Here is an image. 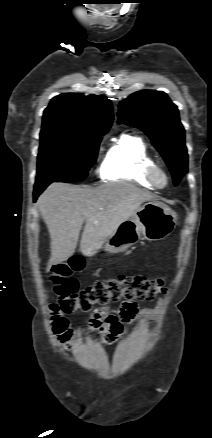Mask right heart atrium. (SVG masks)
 <instances>
[{
    "instance_id": "1",
    "label": "right heart atrium",
    "mask_w": 212,
    "mask_h": 438,
    "mask_svg": "<svg viewBox=\"0 0 212 438\" xmlns=\"http://www.w3.org/2000/svg\"><path fill=\"white\" fill-rule=\"evenodd\" d=\"M98 172H99V174L102 176V174H103V167H102V165L100 166Z\"/></svg>"
}]
</instances>
